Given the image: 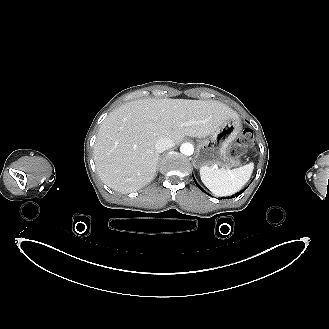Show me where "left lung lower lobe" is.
<instances>
[{
    "instance_id": "left-lung-lower-lobe-1",
    "label": "left lung lower lobe",
    "mask_w": 329,
    "mask_h": 329,
    "mask_svg": "<svg viewBox=\"0 0 329 329\" xmlns=\"http://www.w3.org/2000/svg\"><path fill=\"white\" fill-rule=\"evenodd\" d=\"M194 181H195L196 185H197L202 191H204V190L198 185V183L196 182L195 179H194ZM244 191H245V189L242 190V191H240L239 193H237L236 196H238L239 194L243 193ZM232 197L234 198V196H232Z\"/></svg>"
}]
</instances>
